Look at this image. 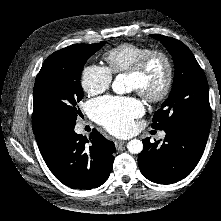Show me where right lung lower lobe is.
I'll use <instances>...</instances> for the list:
<instances>
[{"mask_svg": "<svg viewBox=\"0 0 221 221\" xmlns=\"http://www.w3.org/2000/svg\"><path fill=\"white\" fill-rule=\"evenodd\" d=\"M75 125L51 124L35 134L41 155L54 176L72 189L102 185L113 167L115 145L93 129L76 134Z\"/></svg>", "mask_w": 221, "mask_h": 221, "instance_id": "right-lung-lower-lobe-1", "label": "right lung lower lobe"}]
</instances>
